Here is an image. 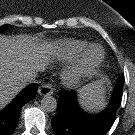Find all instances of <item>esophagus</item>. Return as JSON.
I'll list each match as a JSON object with an SVG mask.
<instances>
[{
    "label": "esophagus",
    "mask_w": 135,
    "mask_h": 135,
    "mask_svg": "<svg viewBox=\"0 0 135 135\" xmlns=\"http://www.w3.org/2000/svg\"><path fill=\"white\" fill-rule=\"evenodd\" d=\"M54 92V88L52 85L50 84H45V85H42L41 87H39L38 89V93L40 95H51L53 94Z\"/></svg>",
    "instance_id": "1"
}]
</instances>
